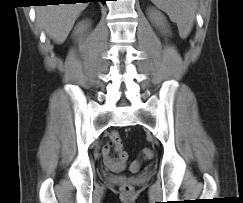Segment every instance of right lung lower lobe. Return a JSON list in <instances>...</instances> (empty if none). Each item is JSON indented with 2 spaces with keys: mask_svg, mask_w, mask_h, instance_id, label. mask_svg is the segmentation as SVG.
Segmentation results:
<instances>
[{
  "mask_svg": "<svg viewBox=\"0 0 243 203\" xmlns=\"http://www.w3.org/2000/svg\"><path fill=\"white\" fill-rule=\"evenodd\" d=\"M46 1H52V0H40V2L38 4H36V5H46V3H45ZM57 1H60V2H53V3H57V4L58 3H69L70 4V3H76L77 1H80V0H57ZM81 1H85V3H88V2H102L103 4H105V2H106V0H81Z\"/></svg>",
  "mask_w": 243,
  "mask_h": 203,
  "instance_id": "1",
  "label": "right lung lower lobe"
}]
</instances>
